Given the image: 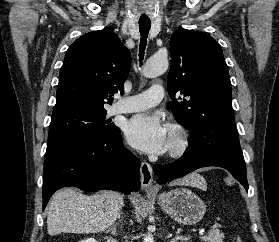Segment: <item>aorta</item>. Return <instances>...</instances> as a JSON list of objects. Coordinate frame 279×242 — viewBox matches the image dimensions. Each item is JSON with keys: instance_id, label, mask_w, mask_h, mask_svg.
<instances>
[{"instance_id": "762f6f07", "label": "aorta", "mask_w": 279, "mask_h": 242, "mask_svg": "<svg viewBox=\"0 0 279 242\" xmlns=\"http://www.w3.org/2000/svg\"><path fill=\"white\" fill-rule=\"evenodd\" d=\"M168 66L169 62L167 56L157 53L147 60L143 69V74L147 78H154L167 71ZM143 242H154L153 235L151 233L146 234Z\"/></svg>"}]
</instances>
